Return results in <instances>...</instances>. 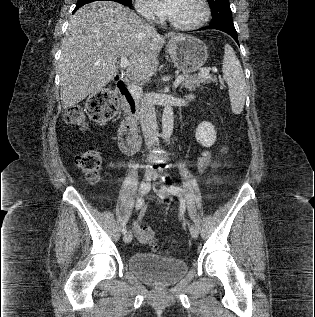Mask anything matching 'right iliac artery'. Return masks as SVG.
<instances>
[{"label":"right iliac artery","mask_w":315,"mask_h":317,"mask_svg":"<svg viewBox=\"0 0 315 317\" xmlns=\"http://www.w3.org/2000/svg\"><path fill=\"white\" fill-rule=\"evenodd\" d=\"M143 203H144V198L142 196H140L136 202V211H138L142 207ZM126 231H127L126 227H123L122 233L126 234Z\"/></svg>","instance_id":"82829eb1"}]
</instances>
